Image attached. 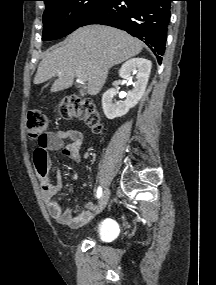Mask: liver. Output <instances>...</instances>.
<instances>
[{
	"label": "liver",
	"mask_w": 216,
	"mask_h": 285,
	"mask_svg": "<svg viewBox=\"0 0 216 285\" xmlns=\"http://www.w3.org/2000/svg\"><path fill=\"white\" fill-rule=\"evenodd\" d=\"M142 47L138 39L115 28L81 27L42 59L34 84L57 76L50 91H62L73 85L79 72L86 75L88 94L97 95L106 82L109 69L139 54Z\"/></svg>",
	"instance_id": "obj_1"
}]
</instances>
